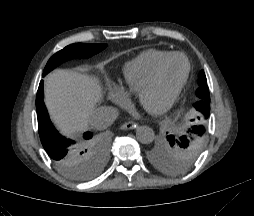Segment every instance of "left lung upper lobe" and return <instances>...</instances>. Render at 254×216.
<instances>
[{
	"label": "left lung upper lobe",
	"mask_w": 254,
	"mask_h": 216,
	"mask_svg": "<svg viewBox=\"0 0 254 216\" xmlns=\"http://www.w3.org/2000/svg\"><path fill=\"white\" fill-rule=\"evenodd\" d=\"M205 73L201 71L198 77L199 88L196 95L199 101L194 104L197 111L207 119L210 113V95ZM200 120V117H198ZM189 132L202 137L205 134L204 126H193ZM202 139L188 138L186 135L175 137L168 135L162 146L156 147L149 152V159L158 169L167 173H178L185 170L197 157L201 148Z\"/></svg>",
	"instance_id": "obj_1"
}]
</instances>
